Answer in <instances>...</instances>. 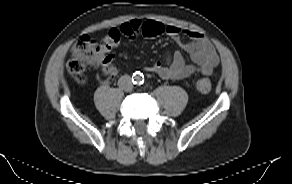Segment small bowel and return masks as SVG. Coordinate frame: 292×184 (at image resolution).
Masks as SVG:
<instances>
[{
	"label": "small bowel",
	"mask_w": 292,
	"mask_h": 184,
	"mask_svg": "<svg viewBox=\"0 0 292 184\" xmlns=\"http://www.w3.org/2000/svg\"><path fill=\"white\" fill-rule=\"evenodd\" d=\"M145 21L132 19L119 27L122 35L130 40L142 33ZM163 26V34L179 42L183 49L190 54L192 63L187 64L181 53L167 57L166 64L155 62L146 67L148 72L155 73L163 79L180 80L191 76L194 73H201L210 76L214 73L219 64V56L212 42L203 34L194 30H182L175 25ZM185 34L189 40L181 42L180 35ZM115 56L109 51L101 50L94 56V64L99 67L107 80H111L119 73L118 67L114 64Z\"/></svg>",
	"instance_id": "c3829d8e"
}]
</instances>
